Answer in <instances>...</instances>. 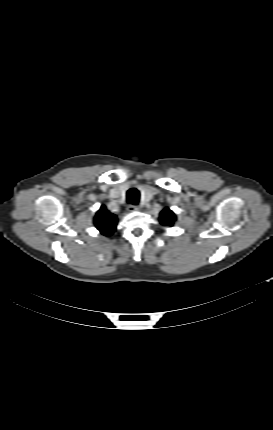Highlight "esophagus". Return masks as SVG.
Wrapping results in <instances>:
<instances>
[{
  "instance_id": "esophagus-1",
  "label": "esophagus",
  "mask_w": 273,
  "mask_h": 430,
  "mask_svg": "<svg viewBox=\"0 0 273 430\" xmlns=\"http://www.w3.org/2000/svg\"><path fill=\"white\" fill-rule=\"evenodd\" d=\"M138 210H139V207H138V206H136V205H129V206L127 207V211H128V212H130V213L136 212V211H138Z\"/></svg>"
}]
</instances>
